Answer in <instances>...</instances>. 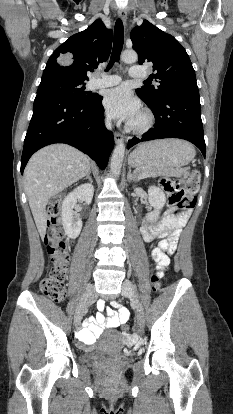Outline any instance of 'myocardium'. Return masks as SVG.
Returning a JSON list of instances; mask_svg holds the SVG:
<instances>
[{
    "label": "myocardium",
    "mask_w": 233,
    "mask_h": 414,
    "mask_svg": "<svg viewBox=\"0 0 233 414\" xmlns=\"http://www.w3.org/2000/svg\"><path fill=\"white\" fill-rule=\"evenodd\" d=\"M154 116L150 111H143L140 114V120L131 122L128 129L136 134H142L148 131L154 125Z\"/></svg>",
    "instance_id": "1"
}]
</instances>
